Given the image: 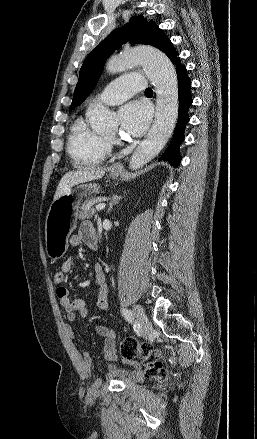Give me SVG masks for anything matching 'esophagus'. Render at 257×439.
<instances>
[{"mask_svg": "<svg viewBox=\"0 0 257 439\" xmlns=\"http://www.w3.org/2000/svg\"><path fill=\"white\" fill-rule=\"evenodd\" d=\"M123 169V165L121 163H116L112 166V170L118 171V170H122Z\"/></svg>", "mask_w": 257, "mask_h": 439, "instance_id": "34e87169", "label": "esophagus"}]
</instances>
